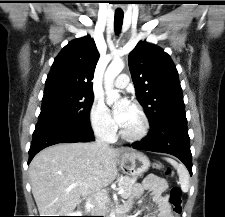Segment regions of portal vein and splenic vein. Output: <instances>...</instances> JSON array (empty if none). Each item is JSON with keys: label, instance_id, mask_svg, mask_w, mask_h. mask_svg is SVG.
I'll return each mask as SVG.
<instances>
[{"label": "portal vein and splenic vein", "instance_id": "obj_1", "mask_svg": "<svg viewBox=\"0 0 225 217\" xmlns=\"http://www.w3.org/2000/svg\"><path fill=\"white\" fill-rule=\"evenodd\" d=\"M76 185H77L76 183L72 184V186H76ZM123 192H124V190L122 188H119L118 194H122Z\"/></svg>", "mask_w": 225, "mask_h": 217}]
</instances>
